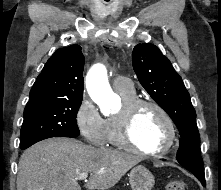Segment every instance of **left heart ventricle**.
<instances>
[{
  "instance_id": "b2bd125f",
  "label": "left heart ventricle",
  "mask_w": 221,
  "mask_h": 190,
  "mask_svg": "<svg viewBox=\"0 0 221 190\" xmlns=\"http://www.w3.org/2000/svg\"><path fill=\"white\" fill-rule=\"evenodd\" d=\"M131 137L139 148L159 149L167 141L168 129L165 121L154 108L143 106L133 116Z\"/></svg>"
}]
</instances>
